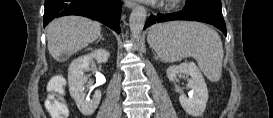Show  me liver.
Instances as JSON below:
<instances>
[{
  "label": "liver",
  "instance_id": "obj_1",
  "mask_svg": "<svg viewBox=\"0 0 273 118\" xmlns=\"http://www.w3.org/2000/svg\"><path fill=\"white\" fill-rule=\"evenodd\" d=\"M46 31L50 55L57 61H63L97 40L101 26L88 18L66 16L50 22Z\"/></svg>",
  "mask_w": 273,
  "mask_h": 118
}]
</instances>
